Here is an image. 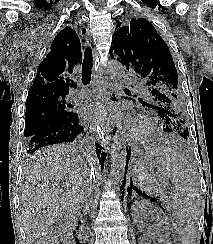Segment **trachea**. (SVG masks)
<instances>
[{
    "mask_svg": "<svg viewBox=\"0 0 213 244\" xmlns=\"http://www.w3.org/2000/svg\"><path fill=\"white\" fill-rule=\"evenodd\" d=\"M92 68H93L92 49L91 47H87L84 53V60L82 64V82L84 85L90 83Z\"/></svg>",
    "mask_w": 213,
    "mask_h": 244,
    "instance_id": "trachea-1",
    "label": "trachea"
}]
</instances>
